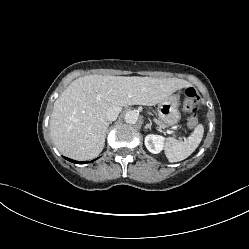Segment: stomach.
<instances>
[{
    "mask_svg": "<svg viewBox=\"0 0 249 249\" xmlns=\"http://www.w3.org/2000/svg\"><path fill=\"white\" fill-rule=\"evenodd\" d=\"M158 116L165 126L176 125L181 118L179 99L177 95H170L158 104Z\"/></svg>",
    "mask_w": 249,
    "mask_h": 249,
    "instance_id": "0dacf381",
    "label": "stomach"
}]
</instances>
